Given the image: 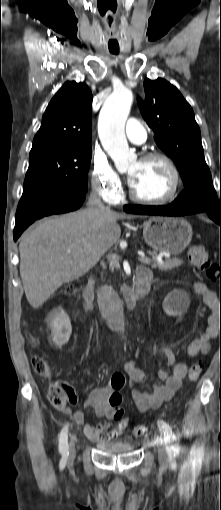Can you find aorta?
Listing matches in <instances>:
<instances>
[{
  "label": "aorta",
  "instance_id": "obj_1",
  "mask_svg": "<svg viewBox=\"0 0 221 510\" xmlns=\"http://www.w3.org/2000/svg\"><path fill=\"white\" fill-rule=\"evenodd\" d=\"M132 102L130 89L117 88L103 104L98 119V134L102 146L120 171L127 168L133 157L124 132ZM101 306L109 319L122 328L125 320L123 301L112 287L102 289Z\"/></svg>",
  "mask_w": 221,
  "mask_h": 510
}]
</instances>
